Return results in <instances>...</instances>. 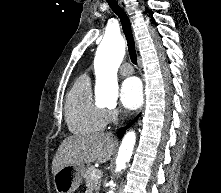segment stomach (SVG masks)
Instances as JSON below:
<instances>
[{
	"mask_svg": "<svg viewBox=\"0 0 221 193\" xmlns=\"http://www.w3.org/2000/svg\"><path fill=\"white\" fill-rule=\"evenodd\" d=\"M85 174L84 165H67L54 174V185L58 193H73L81 184Z\"/></svg>",
	"mask_w": 221,
	"mask_h": 193,
	"instance_id": "0dacf381",
	"label": "stomach"
}]
</instances>
